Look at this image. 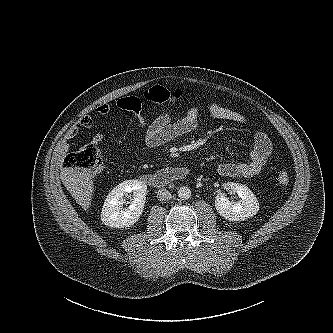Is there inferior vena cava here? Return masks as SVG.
<instances>
[{
    "label": "inferior vena cava",
    "mask_w": 333,
    "mask_h": 333,
    "mask_svg": "<svg viewBox=\"0 0 333 333\" xmlns=\"http://www.w3.org/2000/svg\"><path fill=\"white\" fill-rule=\"evenodd\" d=\"M171 197H172L171 193L165 188L159 189L157 192V198L160 201H166V200L170 199Z\"/></svg>",
    "instance_id": "602c4592"
}]
</instances>
